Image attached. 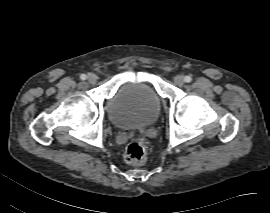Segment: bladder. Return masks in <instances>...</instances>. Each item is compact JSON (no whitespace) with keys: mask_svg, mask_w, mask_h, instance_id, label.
<instances>
[{"mask_svg":"<svg viewBox=\"0 0 270 213\" xmlns=\"http://www.w3.org/2000/svg\"><path fill=\"white\" fill-rule=\"evenodd\" d=\"M161 105V97L151 84L128 80L121 83L110 96L107 116L116 127H144L158 118Z\"/></svg>","mask_w":270,"mask_h":213,"instance_id":"bladder-1","label":"bladder"}]
</instances>
